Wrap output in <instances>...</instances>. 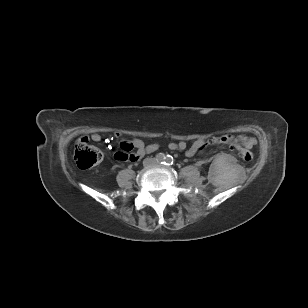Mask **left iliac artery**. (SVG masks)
I'll list each match as a JSON object with an SVG mask.
<instances>
[{
	"instance_id": "left-iliac-artery-1",
	"label": "left iliac artery",
	"mask_w": 308,
	"mask_h": 308,
	"mask_svg": "<svg viewBox=\"0 0 308 308\" xmlns=\"http://www.w3.org/2000/svg\"><path fill=\"white\" fill-rule=\"evenodd\" d=\"M174 162H175L174 158L170 155H167L164 163L166 165H172V164H174Z\"/></svg>"
}]
</instances>
